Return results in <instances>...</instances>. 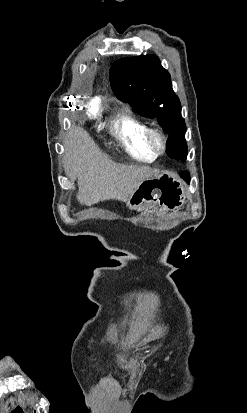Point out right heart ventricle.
I'll return each mask as SVG.
<instances>
[{"label": "right heart ventricle", "mask_w": 247, "mask_h": 413, "mask_svg": "<svg viewBox=\"0 0 247 413\" xmlns=\"http://www.w3.org/2000/svg\"><path fill=\"white\" fill-rule=\"evenodd\" d=\"M144 128L145 126L134 118L124 116L114 124L112 132L133 159L153 162L157 156L146 149L141 139Z\"/></svg>", "instance_id": "obj_1"}]
</instances>
